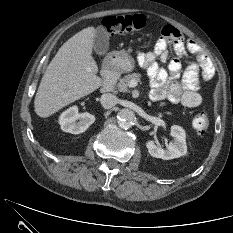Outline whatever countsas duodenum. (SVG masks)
Returning <instances> with one entry per match:
<instances>
[{
    "mask_svg": "<svg viewBox=\"0 0 233 233\" xmlns=\"http://www.w3.org/2000/svg\"><path fill=\"white\" fill-rule=\"evenodd\" d=\"M103 83L101 90L103 92H110L117 81L118 72L115 66L111 64L110 61L105 62L102 70Z\"/></svg>",
    "mask_w": 233,
    "mask_h": 233,
    "instance_id": "duodenum-1",
    "label": "duodenum"
}]
</instances>
